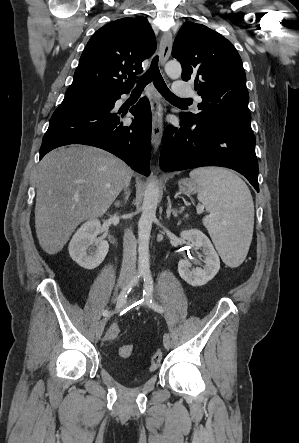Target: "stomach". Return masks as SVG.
I'll list each match as a JSON object with an SVG mask.
<instances>
[{"instance_id": "0dacf381", "label": "stomach", "mask_w": 299, "mask_h": 443, "mask_svg": "<svg viewBox=\"0 0 299 443\" xmlns=\"http://www.w3.org/2000/svg\"><path fill=\"white\" fill-rule=\"evenodd\" d=\"M179 191L185 195H192L199 191V186L195 180L182 179L178 182Z\"/></svg>"}]
</instances>
